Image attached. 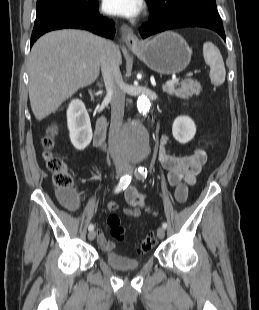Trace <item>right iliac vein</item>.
Masks as SVG:
<instances>
[{
    "label": "right iliac vein",
    "mask_w": 259,
    "mask_h": 310,
    "mask_svg": "<svg viewBox=\"0 0 259 310\" xmlns=\"http://www.w3.org/2000/svg\"><path fill=\"white\" fill-rule=\"evenodd\" d=\"M127 167L125 165H122V164H118L116 165V174L117 176H120L122 173H124L126 171ZM96 237V232L91 230L89 233H88V239L90 241L94 240Z\"/></svg>",
    "instance_id": "63e3f726"
}]
</instances>
